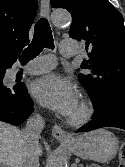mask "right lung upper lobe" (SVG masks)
I'll return each mask as SVG.
<instances>
[{"label":"right lung upper lobe","mask_w":125,"mask_h":167,"mask_svg":"<svg viewBox=\"0 0 125 167\" xmlns=\"http://www.w3.org/2000/svg\"><path fill=\"white\" fill-rule=\"evenodd\" d=\"M37 0H0V71L11 67L25 46Z\"/></svg>","instance_id":"1"}]
</instances>
